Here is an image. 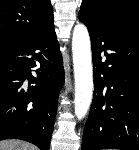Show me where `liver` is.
Wrapping results in <instances>:
<instances>
[{
	"instance_id": "6515ba94",
	"label": "liver",
	"mask_w": 139,
	"mask_h": 150,
	"mask_svg": "<svg viewBox=\"0 0 139 150\" xmlns=\"http://www.w3.org/2000/svg\"><path fill=\"white\" fill-rule=\"evenodd\" d=\"M0 150H35V147L18 140H7L0 142Z\"/></svg>"
}]
</instances>
